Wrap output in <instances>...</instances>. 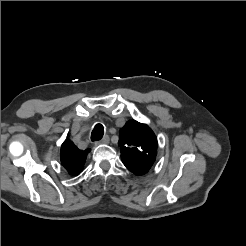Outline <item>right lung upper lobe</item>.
<instances>
[{"label":"right lung upper lobe","instance_id":"obj_1","mask_svg":"<svg viewBox=\"0 0 246 246\" xmlns=\"http://www.w3.org/2000/svg\"><path fill=\"white\" fill-rule=\"evenodd\" d=\"M89 152L90 149L80 150L71 140L66 139L61 145V164L69 174L77 176L82 171Z\"/></svg>","mask_w":246,"mask_h":246}]
</instances>
